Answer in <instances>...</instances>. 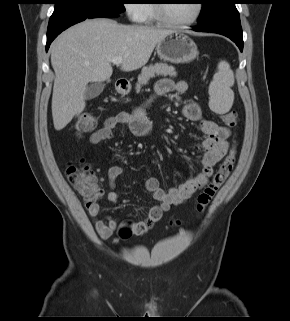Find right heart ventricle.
I'll list each match as a JSON object with an SVG mask.
<instances>
[{
	"label": "right heart ventricle",
	"mask_w": 290,
	"mask_h": 321,
	"mask_svg": "<svg viewBox=\"0 0 290 321\" xmlns=\"http://www.w3.org/2000/svg\"><path fill=\"white\" fill-rule=\"evenodd\" d=\"M148 3H144L141 5L143 14L141 18V22L145 24H153L157 21V18L155 16V12L153 9V3H150L152 0H146Z\"/></svg>",
	"instance_id": "obj_1"
}]
</instances>
